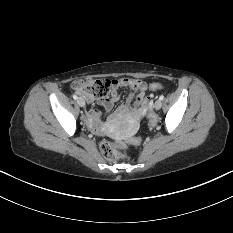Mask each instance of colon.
<instances>
[{
    "instance_id": "5ec220e1",
    "label": "colon",
    "mask_w": 233,
    "mask_h": 233,
    "mask_svg": "<svg viewBox=\"0 0 233 233\" xmlns=\"http://www.w3.org/2000/svg\"><path fill=\"white\" fill-rule=\"evenodd\" d=\"M73 89L82 94L88 99H105L111 88V81L108 79H92V80H77L73 83ZM164 89L161 83L154 82L149 85L151 92ZM142 108L145 114L148 116V125L154 127L156 124V118L152 113V101L151 96H147L143 103ZM131 143L139 145L141 143L140 138L131 139ZM101 154L108 160H116L123 157L126 154V146L119 143H112L109 141H103L99 146Z\"/></svg>"
}]
</instances>
